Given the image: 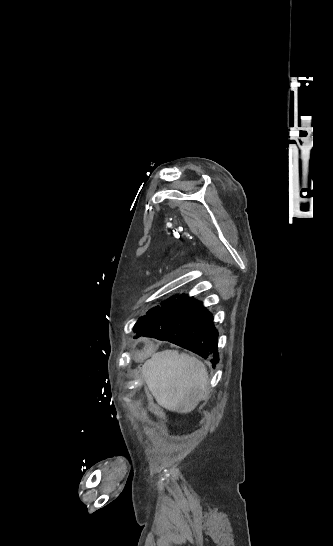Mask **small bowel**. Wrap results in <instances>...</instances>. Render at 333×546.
<instances>
[{"label":"small bowel","mask_w":333,"mask_h":546,"mask_svg":"<svg viewBox=\"0 0 333 546\" xmlns=\"http://www.w3.org/2000/svg\"><path fill=\"white\" fill-rule=\"evenodd\" d=\"M144 344L146 346H144L142 349L143 354H138L135 357L136 360L138 361H148L151 358L150 356L154 355L156 352V349H155V347L157 346L156 340L146 341Z\"/></svg>","instance_id":"small-bowel-1"}]
</instances>
